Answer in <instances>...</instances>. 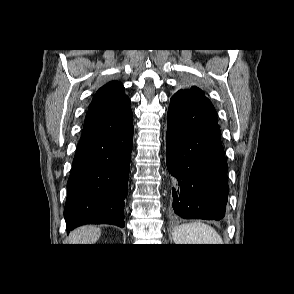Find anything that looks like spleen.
<instances>
[{
    "label": "spleen",
    "instance_id": "spleen-1",
    "mask_svg": "<svg viewBox=\"0 0 294 294\" xmlns=\"http://www.w3.org/2000/svg\"><path fill=\"white\" fill-rule=\"evenodd\" d=\"M172 237L175 244H223L222 238L217 231L200 221L175 227Z\"/></svg>",
    "mask_w": 294,
    "mask_h": 294
}]
</instances>
